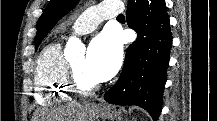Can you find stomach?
<instances>
[{"instance_id": "1", "label": "stomach", "mask_w": 217, "mask_h": 121, "mask_svg": "<svg viewBox=\"0 0 217 121\" xmlns=\"http://www.w3.org/2000/svg\"><path fill=\"white\" fill-rule=\"evenodd\" d=\"M118 116H119V113L109 105L96 106V109H95V117L96 118L99 117L103 120H105V119L113 120L115 117H118Z\"/></svg>"}]
</instances>
